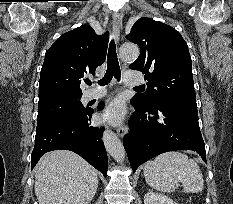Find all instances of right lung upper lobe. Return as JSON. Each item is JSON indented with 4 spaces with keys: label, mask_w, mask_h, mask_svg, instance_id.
<instances>
[{
    "label": "right lung upper lobe",
    "mask_w": 233,
    "mask_h": 204,
    "mask_svg": "<svg viewBox=\"0 0 233 204\" xmlns=\"http://www.w3.org/2000/svg\"><path fill=\"white\" fill-rule=\"evenodd\" d=\"M109 33L97 35L82 25L61 35L46 51L39 81V102L63 96H82L81 78L95 75L106 58Z\"/></svg>",
    "instance_id": "cb5924a9"
}]
</instances>
